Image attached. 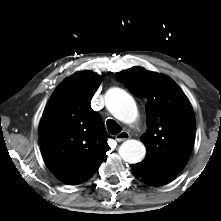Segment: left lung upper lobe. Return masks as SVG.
<instances>
[{"label":"left lung upper lobe","mask_w":221,"mask_h":221,"mask_svg":"<svg viewBox=\"0 0 221 221\" xmlns=\"http://www.w3.org/2000/svg\"><path fill=\"white\" fill-rule=\"evenodd\" d=\"M116 79L136 97L147 99V132L141 137L147 154L131 166L133 174L151 185L175 178L194 142L195 117L189 100L173 80L142 67L121 71Z\"/></svg>","instance_id":"1"}]
</instances>
